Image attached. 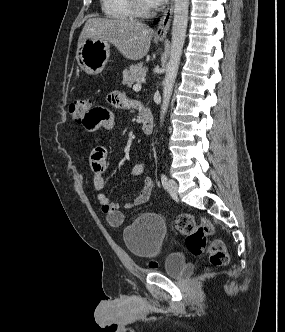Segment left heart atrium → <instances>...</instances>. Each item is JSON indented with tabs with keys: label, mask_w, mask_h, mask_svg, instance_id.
Wrapping results in <instances>:
<instances>
[{
	"label": "left heart atrium",
	"mask_w": 285,
	"mask_h": 332,
	"mask_svg": "<svg viewBox=\"0 0 285 332\" xmlns=\"http://www.w3.org/2000/svg\"><path fill=\"white\" fill-rule=\"evenodd\" d=\"M166 0H148L151 6L157 7L162 5Z\"/></svg>",
	"instance_id": "left-heart-atrium-1"
}]
</instances>
